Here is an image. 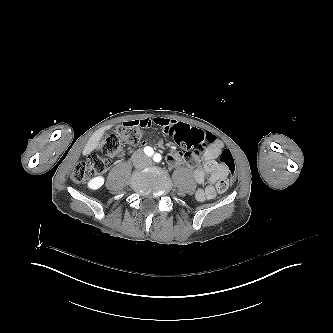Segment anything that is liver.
<instances>
[{
	"instance_id": "6515ba94",
	"label": "liver",
	"mask_w": 333,
	"mask_h": 333,
	"mask_svg": "<svg viewBox=\"0 0 333 333\" xmlns=\"http://www.w3.org/2000/svg\"><path fill=\"white\" fill-rule=\"evenodd\" d=\"M114 127V124L103 126L96 130L92 136L87 141L85 147L83 148L82 155L84 157L90 155L94 150L97 149L98 145L100 144V141L105 136L106 132Z\"/></svg>"
}]
</instances>
